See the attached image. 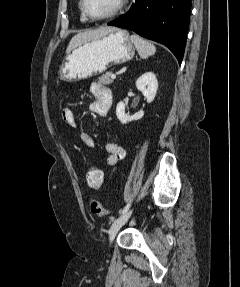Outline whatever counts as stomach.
Here are the masks:
<instances>
[{
  "label": "stomach",
  "instance_id": "1",
  "mask_svg": "<svg viewBox=\"0 0 240 287\" xmlns=\"http://www.w3.org/2000/svg\"><path fill=\"white\" fill-rule=\"evenodd\" d=\"M134 54L135 47L129 33L117 28L68 52L60 66L59 77L66 82L84 80L112 65L129 61Z\"/></svg>",
  "mask_w": 240,
  "mask_h": 287
}]
</instances>
